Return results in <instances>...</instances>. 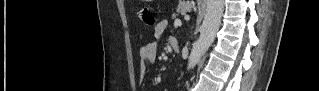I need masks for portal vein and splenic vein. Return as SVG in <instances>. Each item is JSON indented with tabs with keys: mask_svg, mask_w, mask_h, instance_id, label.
I'll return each instance as SVG.
<instances>
[{
	"mask_svg": "<svg viewBox=\"0 0 319 91\" xmlns=\"http://www.w3.org/2000/svg\"><path fill=\"white\" fill-rule=\"evenodd\" d=\"M175 25H177V26H181V25H182V23H181V21H180L179 19H176V20H175Z\"/></svg>",
	"mask_w": 319,
	"mask_h": 91,
	"instance_id": "obj_1",
	"label": "portal vein and splenic vein"
}]
</instances>
